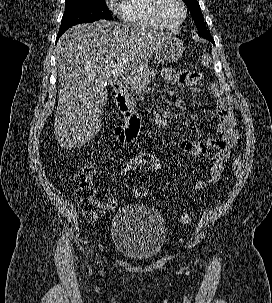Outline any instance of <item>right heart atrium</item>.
Masks as SVG:
<instances>
[{"mask_svg":"<svg viewBox=\"0 0 272 303\" xmlns=\"http://www.w3.org/2000/svg\"><path fill=\"white\" fill-rule=\"evenodd\" d=\"M111 6H116V0H111Z\"/></svg>","mask_w":272,"mask_h":303,"instance_id":"obj_1","label":"right heart atrium"}]
</instances>
